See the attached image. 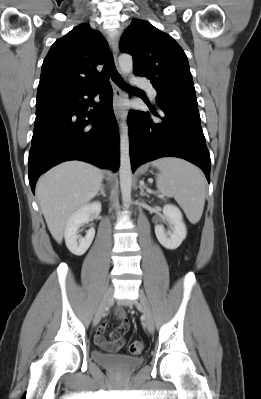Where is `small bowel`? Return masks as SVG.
<instances>
[{
  "label": "small bowel",
  "mask_w": 261,
  "mask_h": 399,
  "mask_svg": "<svg viewBox=\"0 0 261 399\" xmlns=\"http://www.w3.org/2000/svg\"><path fill=\"white\" fill-rule=\"evenodd\" d=\"M114 317L119 321L120 324L115 331L111 332L110 340H106L104 337L107 325L106 322H103L99 325L94 337L96 345L106 351H117L125 345L124 335L129 328V320L124 312L120 309L114 312Z\"/></svg>",
  "instance_id": "1"
}]
</instances>
